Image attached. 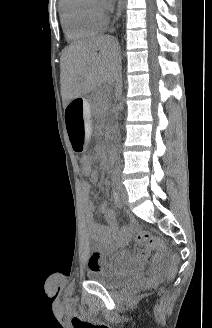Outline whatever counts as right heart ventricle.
<instances>
[{"label":"right heart ventricle","mask_w":212,"mask_h":328,"mask_svg":"<svg viewBox=\"0 0 212 328\" xmlns=\"http://www.w3.org/2000/svg\"><path fill=\"white\" fill-rule=\"evenodd\" d=\"M61 20L66 35L72 40L94 36L106 25V18L96 10L92 0H62Z\"/></svg>","instance_id":"right-heart-ventricle-1"}]
</instances>
